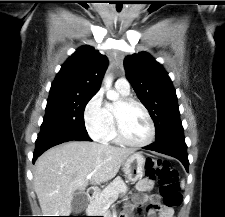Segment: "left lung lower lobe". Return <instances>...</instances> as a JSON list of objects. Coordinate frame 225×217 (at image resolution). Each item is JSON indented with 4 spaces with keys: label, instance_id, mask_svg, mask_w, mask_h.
<instances>
[{
    "label": "left lung lower lobe",
    "instance_id": "0a47b994",
    "mask_svg": "<svg viewBox=\"0 0 225 217\" xmlns=\"http://www.w3.org/2000/svg\"><path fill=\"white\" fill-rule=\"evenodd\" d=\"M144 149L175 157L182 162L188 171L189 161L183 130L171 133L159 140H155L153 144L144 147Z\"/></svg>",
    "mask_w": 225,
    "mask_h": 217
}]
</instances>
